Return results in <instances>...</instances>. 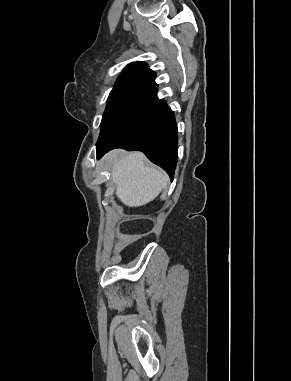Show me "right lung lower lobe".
Masks as SVG:
<instances>
[{
    "instance_id": "98d812e1",
    "label": "right lung lower lobe",
    "mask_w": 291,
    "mask_h": 381,
    "mask_svg": "<svg viewBox=\"0 0 291 381\" xmlns=\"http://www.w3.org/2000/svg\"><path fill=\"white\" fill-rule=\"evenodd\" d=\"M155 73L145 75L120 124L115 142H97V158L114 148L142 151L173 178L178 159V131L171 109L157 98Z\"/></svg>"
}]
</instances>
